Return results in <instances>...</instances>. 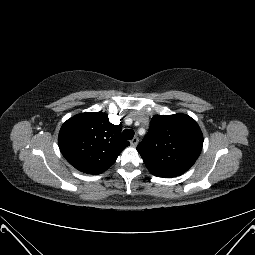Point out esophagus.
I'll use <instances>...</instances> for the list:
<instances>
[{"instance_id":"obj_1","label":"esophagus","mask_w":255,"mask_h":255,"mask_svg":"<svg viewBox=\"0 0 255 255\" xmlns=\"http://www.w3.org/2000/svg\"><path fill=\"white\" fill-rule=\"evenodd\" d=\"M138 142H139L138 137H134V138L130 141V144H131V146L136 147V146L138 145Z\"/></svg>"}]
</instances>
